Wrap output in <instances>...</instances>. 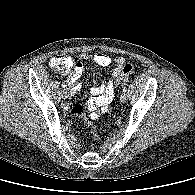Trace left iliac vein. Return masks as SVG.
Returning a JSON list of instances; mask_svg holds the SVG:
<instances>
[{
  "mask_svg": "<svg viewBox=\"0 0 195 195\" xmlns=\"http://www.w3.org/2000/svg\"><path fill=\"white\" fill-rule=\"evenodd\" d=\"M127 99H128L127 93L126 92H123L121 94V96H120V101L123 102V103H125L127 101Z\"/></svg>",
  "mask_w": 195,
  "mask_h": 195,
  "instance_id": "left-iliac-vein-1",
  "label": "left iliac vein"
}]
</instances>
